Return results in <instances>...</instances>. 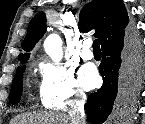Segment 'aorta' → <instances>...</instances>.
Wrapping results in <instances>:
<instances>
[{"label": "aorta", "instance_id": "762f6f07", "mask_svg": "<svg viewBox=\"0 0 145 124\" xmlns=\"http://www.w3.org/2000/svg\"><path fill=\"white\" fill-rule=\"evenodd\" d=\"M44 49L53 62L59 63L63 57L62 39L57 34H50L44 41Z\"/></svg>", "mask_w": 145, "mask_h": 124}]
</instances>
